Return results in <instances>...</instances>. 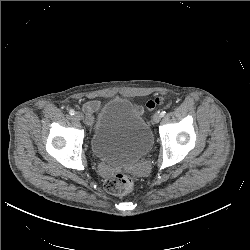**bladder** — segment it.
Instances as JSON below:
<instances>
[{
	"label": "bladder",
	"instance_id": "bladder-1",
	"mask_svg": "<svg viewBox=\"0 0 250 250\" xmlns=\"http://www.w3.org/2000/svg\"><path fill=\"white\" fill-rule=\"evenodd\" d=\"M152 144L153 135L146 118L127 98L106 103L89 137L93 156L115 166L141 161Z\"/></svg>",
	"mask_w": 250,
	"mask_h": 250
}]
</instances>
